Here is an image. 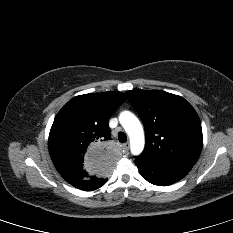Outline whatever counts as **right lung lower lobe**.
Masks as SVG:
<instances>
[{
	"label": "right lung lower lobe",
	"mask_w": 233,
	"mask_h": 233,
	"mask_svg": "<svg viewBox=\"0 0 233 233\" xmlns=\"http://www.w3.org/2000/svg\"><path fill=\"white\" fill-rule=\"evenodd\" d=\"M106 181L107 179L103 178L100 180L85 179L79 182L71 183V185L81 190L92 191L100 188Z\"/></svg>",
	"instance_id": "obj_1"
}]
</instances>
